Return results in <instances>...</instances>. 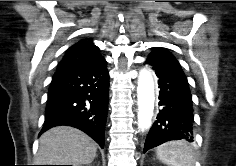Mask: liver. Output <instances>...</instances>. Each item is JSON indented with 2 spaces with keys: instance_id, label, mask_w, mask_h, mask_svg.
<instances>
[{
  "instance_id": "liver-1",
  "label": "liver",
  "mask_w": 236,
  "mask_h": 166,
  "mask_svg": "<svg viewBox=\"0 0 236 166\" xmlns=\"http://www.w3.org/2000/svg\"><path fill=\"white\" fill-rule=\"evenodd\" d=\"M97 152V144L82 131L58 126L46 131L39 139L38 165H88Z\"/></svg>"
}]
</instances>
